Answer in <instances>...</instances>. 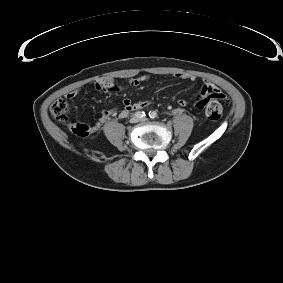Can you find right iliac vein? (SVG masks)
Returning <instances> with one entry per match:
<instances>
[{"label":"right iliac vein","instance_id":"63e3f726","mask_svg":"<svg viewBox=\"0 0 283 283\" xmlns=\"http://www.w3.org/2000/svg\"><path fill=\"white\" fill-rule=\"evenodd\" d=\"M130 122L131 123H136V122H138V119L136 117H133V118H131Z\"/></svg>","mask_w":283,"mask_h":283}]
</instances>
